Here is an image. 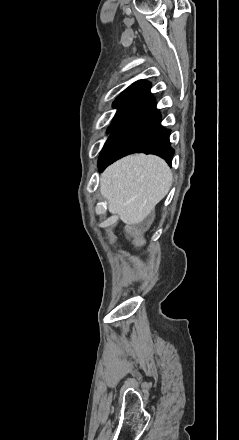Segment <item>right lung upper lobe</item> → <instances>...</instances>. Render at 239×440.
Returning <instances> with one entry per match:
<instances>
[{
	"instance_id": "right-lung-upper-lobe-1",
	"label": "right lung upper lobe",
	"mask_w": 239,
	"mask_h": 440,
	"mask_svg": "<svg viewBox=\"0 0 239 440\" xmlns=\"http://www.w3.org/2000/svg\"><path fill=\"white\" fill-rule=\"evenodd\" d=\"M151 83L145 80H139L128 87L115 102H132L135 99L149 93Z\"/></svg>"
}]
</instances>
